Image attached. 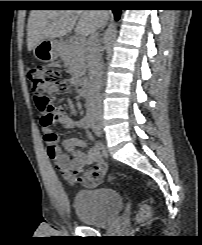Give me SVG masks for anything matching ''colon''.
Returning a JSON list of instances; mask_svg holds the SVG:
<instances>
[{
    "label": "colon",
    "instance_id": "5ec220e1",
    "mask_svg": "<svg viewBox=\"0 0 202 245\" xmlns=\"http://www.w3.org/2000/svg\"><path fill=\"white\" fill-rule=\"evenodd\" d=\"M28 78L32 84L34 103L39 113L40 121L45 125H52L58 122L54 114V108L50 92L53 90H67L68 84L64 80L61 71L57 69H47L40 64H32L28 69ZM57 154V147L53 146L50 155ZM152 216V208L149 204H142L136 218L139 222L145 221Z\"/></svg>",
    "mask_w": 202,
    "mask_h": 245
}]
</instances>
